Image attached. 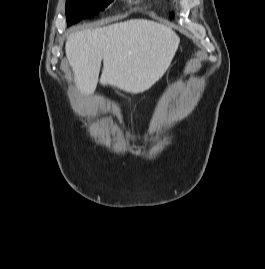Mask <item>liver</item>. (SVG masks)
I'll return each mask as SVG.
<instances>
[{
  "label": "liver",
  "mask_w": 265,
  "mask_h": 269,
  "mask_svg": "<svg viewBox=\"0 0 265 269\" xmlns=\"http://www.w3.org/2000/svg\"><path fill=\"white\" fill-rule=\"evenodd\" d=\"M179 41L170 27L132 19L72 33L65 50L75 84L82 94L94 93L102 61V85L138 94L164 75Z\"/></svg>",
  "instance_id": "6515ba94"
}]
</instances>
